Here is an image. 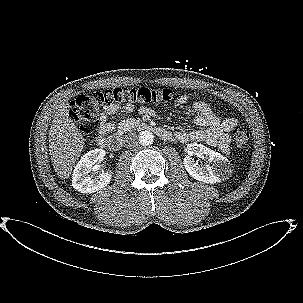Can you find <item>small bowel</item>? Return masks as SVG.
<instances>
[{
	"mask_svg": "<svg viewBox=\"0 0 303 303\" xmlns=\"http://www.w3.org/2000/svg\"><path fill=\"white\" fill-rule=\"evenodd\" d=\"M188 100L187 95L177 97L178 103H185ZM193 109L198 112V117L195 123L201 127L192 132L177 131L175 137L179 142L204 141L211 146H218L223 152L229 150V135L228 133L234 129L238 120L234 117H229L221 120L211 109V107L203 101H195L192 104ZM132 105L112 104L106 106L100 115L99 137H105L114 129L112 118L119 113L127 114L133 111ZM139 113L150 116L153 111L146 106L139 108Z\"/></svg>",
	"mask_w": 303,
	"mask_h": 303,
	"instance_id": "small-bowel-1",
	"label": "small bowel"
}]
</instances>
